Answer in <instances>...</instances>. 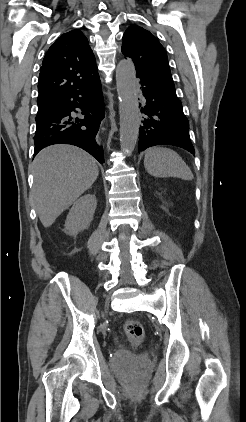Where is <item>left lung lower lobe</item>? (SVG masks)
I'll return each mask as SVG.
<instances>
[{
    "label": "left lung lower lobe",
    "mask_w": 246,
    "mask_h": 422,
    "mask_svg": "<svg viewBox=\"0 0 246 422\" xmlns=\"http://www.w3.org/2000/svg\"><path fill=\"white\" fill-rule=\"evenodd\" d=\"M137 77L145 97L141 108L144 116L139 129V153L151 146L168 144L194 154L189 122L183 113L181 101L145 76Z\"/></svg>",
    "instance_id": "obj_1"
}]
</instances>
